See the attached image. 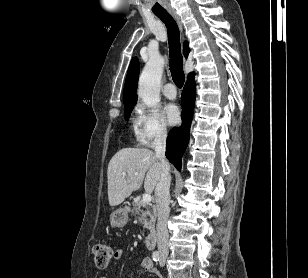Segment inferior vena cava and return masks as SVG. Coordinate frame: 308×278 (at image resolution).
I'll list each match as a JSON object with an SVG mask.
<instances>
[{
    "mask_svg": "<svg viewBox=\"0 0 308 278\" xmlns=\"http://www.w3.org/2000/svg\"><path fill=\"white\" fill-rule=\"evenodd\" d=\"M166 139L167 132L161 129L154 139V150L156 157L160 160L162 172L160 179L155 188V201L157 208V243L160 253L168 254V239L167 220L169 217V201H170V166L166 160Z\"/></svg>",
    "mask_w": 308,
    "mask_h": 278,
    "instance_id": "602c4592",
    "label": "inferior vena cava"
}]
</instances>
